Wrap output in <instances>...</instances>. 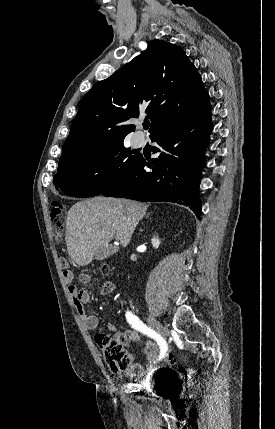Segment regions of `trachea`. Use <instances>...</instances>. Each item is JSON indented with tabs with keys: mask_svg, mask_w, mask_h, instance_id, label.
Here are the masks:
<instances>
[{
	"mask_svg": "<svg viewBox=\"0 0 275 429\" xmlns=\"http://www.w3.org/2000/svg\"><path fill=\"white\" fill-rule=\"evenodd\" d=\"M149 126H150V122L149 121H145L143 123V127H144L145 130H147L149 128Z\"/></svg>",
	"mask_w": 275,
	"mask_h": 429,
	"instance_id": "obj_1",
	"label": "trachea"
}]
</instances>
